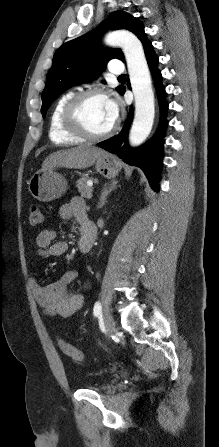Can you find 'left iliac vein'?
Returning a JSON list of instances; mask_svg holds the SVG:
<instances>
[{
    "label": "left iliac vein",
    "mask_w": 219,
    "mask_h": 447,
    "mask_svg": "<svg viewBox=\"0 0 219 447\" xmlns=\"http://www.w3.org/2000/svg\"><path fill=\"white\" fill-rule=\"evenodd\" d=\"M104 326L106 329V337L110 338V336L115 331V322L109 310H105L103 314Z\"/></svg>",
    "instance_id": "obj_1"
}]
</instances>
